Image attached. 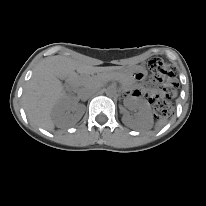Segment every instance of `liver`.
I'll return each instance as SVG.
<instances>
[{
    "mask_svg": "<svg viewBox=\"0 0 206 206\" xmlns=\"http://www.w3.org/2000/svg\"><path fill=\"white\" fill-rule=\"evenodd\" d=\"M80 73L90 74L92 67L80 60L56 55L39 63L33 77L27 82L24 90V105L30 120L37 121L42 126L66 127L79 121L83 111L72 107L75 114H60L61 110H67L62 102L64 86L59 78L62 74L67 77ZM66 77V78H67Z\"/></svg>",
    "mask_w": 206,
    "mask_h": 206,
    "instance_id": "obj_1",
    "label": "liver"
}]
</instances>
